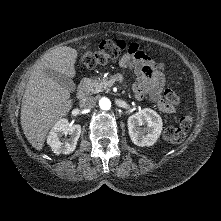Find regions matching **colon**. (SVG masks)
<instances>
[{
  "instance_id": "obj_1",
  "label": "colon",
  "mask_w": 221,
  "mask_h": 221,
  "mask_svg": "<svg viewBox=\"0 0 221 221\" xmlns=\"http://www.w3.org/2000/svg\"><path fill=\"white\" fill-rule=\"evenodd\" d=\"M121 47L113 41H104L97 51L86 52L82 56V62L87 67H95L103 65L109 60L114 59L120 53ZM153 70L155 72H161L163 70V64L158 62L154 64ZM164 98L171 104H176L179 101L178 95L172 90L167 89L164 92ZM192 125L191 114H186L179 120L178 126H168L164 131V137L166 140L172 143H180L184 140L187 131Z\"/></svg>"
}]
</instances>
